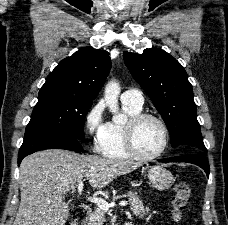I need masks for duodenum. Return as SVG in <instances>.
Wrapping results in <instances>:
<instances>
[{
    "instance_id": "duodenum-1",
    "label": "duodenum",
    "mask_w": 228,
    "mask_h": 225,
    "mask_svg": "<svg viewBox=\"0 0 228 225\" xmlns=\"http://www.w3.org/2000/svg\"><path fill=\"white\" fill-rule=\"evenodd\" d=\"M71 225H80V221L78 217H75L72 222ZM126 225H132V223H126Z\"/></svg>"
}]
</instances>
